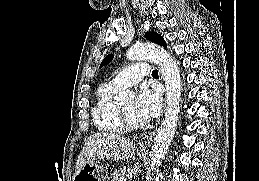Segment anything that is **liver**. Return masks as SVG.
Here are the masks:
<instances>
[{
	"instance_id": "liver-1",
	"label": "liver",
	"mask_w": 259,
	"mask_h": 181,
	"mask_svg": "<svg viewBox=\"0 0 259 181\" xmlns=\"http://www.w3.org/2000/svg\"><path fill=\"white\" fill-rule=\"evenodd\" d=\"M135 149V144L123 136L106 132L96 133L85 142L76 162V171L96 159L128 160L134 155Z\"/></svg>"
}]
</instances>
